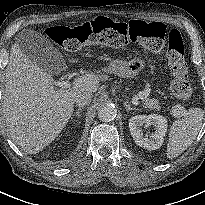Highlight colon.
Segmentation results:
<instances>
[{"mask_svg":"<svg viewBox=\"0 0 205 205\" xmlns=\"http://www.w3.org/2000/svg\"><path fill=\"white\" fill-rule=\"evenodd\" d=\"M47 35L68 51H78L86 43L114 48L137 43L154 52L162 50L166 45L168 65L174 76L171 83L172 94L179 100H188L192 96L183 38L177 29L167 32L161 22L140 19L116 22L101 16L75 27L52 26L47 29Z\"/></svg>","mask_w":205,"mask_h":205,"instance_id":"5ec220e1","label":"colon"}]
</instances>
